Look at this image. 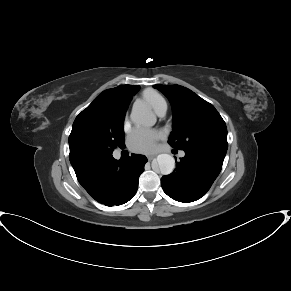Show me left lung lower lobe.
I'll return each instance as SVG.
<instances>
[{
	"label": "left lung lower lobe",
	"mask_w": 291,
	"mask_h": 291,
	"mask_svg": "<svg viewBox=\"0 0 291 291\" xmlns=\"http://www.w3.org/2000/svg\"><path fill=\"white\" fill-rule=\"evenodd\" d=\"M185 156L176 162V169L161 178L164 192L179 202L201 198L219 175L225 151L204 148L184 150Z\"/></svg>",
	"instance_id": "0a47b994"
}]
</instances>
